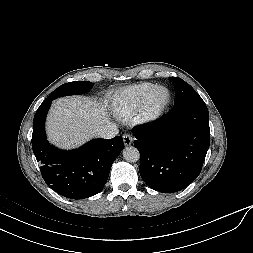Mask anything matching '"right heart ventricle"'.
I'll list each match as a JSON object with an SVG mask.
<instances>
[{"instance_id": "e07e8e85", "label": "right heart ventricle", "mask_w": 253, "mask_h": 253, "mask_svg": "<svg viewBox=\"0 0 253 253\" xmlns=\"http://www.w3.org/2000/svg\"><path fill=\"white\" fill-rule=\"evenodd\" d=\"M155 86L150 82L130 85L117 90L110 98L113 114L120 120L133 118L148 92Z\"/></svg>"}]
</instances>
